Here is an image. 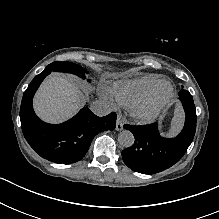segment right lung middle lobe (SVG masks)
Instances as JSON below:
<instances>
[{
    "mask_svg": "<svg viewBox=\"0 0 219 219\" xmlns=\"http://www.w3.org/2000/svg\"><path fill=\"white\" fill-rule=\"evenodd\" d=\"M45 70L50 71V72L51 71L67 72V73L75 74V75L81 77L82 79L86 78L85 77L86 70H84L81 66H78L77 64L70 63L67 61L53 62V63L49 64L48 66H46ZM88 81H90V80L88 79Z\"/></svg>",
    "mask_w": 219,
    "mask_h": 219,
    "instance_id": "right-lung-middle-lobe-1",
    "label": "right lung middle lobe"
}]
</instances>
